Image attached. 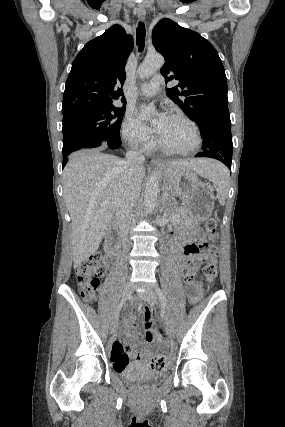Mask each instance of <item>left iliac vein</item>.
<instances>
[{"label":"left iliac vein","instance_id":"left-iliac-vein-1","mask_svg":"<svg viewBox=\"0 0 285 427\" xmlns=\"http://www.w3.org/2000/svg\"><path fill=\"white\" fill-rule=\"evenodd\" d=\"M140 296L142 297V299L144 301L148 302L151 305L155 304L156 301H157L156 294L151 289L147 290L145 292H141ZM165 324H166L167 335L169 337H173V335H174V325H173V321H172L171 317L167 313L165 314Z\"/></svg>","mask_w":285,"mask_h":427}]
</instances>
